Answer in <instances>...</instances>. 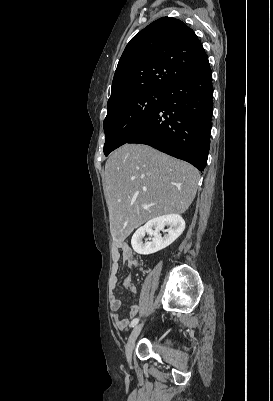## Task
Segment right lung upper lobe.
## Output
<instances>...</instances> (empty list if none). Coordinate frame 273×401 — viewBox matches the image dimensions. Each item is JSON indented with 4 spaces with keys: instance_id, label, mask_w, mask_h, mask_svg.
<instances>
[{
    "instance_id": "right-lung-upper-lobe-1",
    "label": "right lung upper lobe",
    "mask_w": 273,
    "mask_h": 401,
    "mask_svg": "<svg viewBox=\"0 0 273 401\" xmlns=\"http://www.w3.org/2000/svg\"><path fill=\"white\" fill-rule=\"evenodd\" d=\"M207 63L208 57L194 31L178 19L162 17L127 44L107 105L142 91L164 92Z\"/></svg>"
}]
</instances>
